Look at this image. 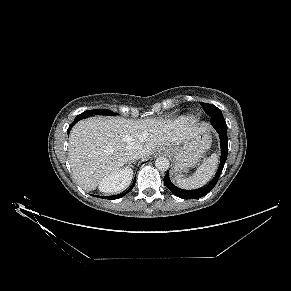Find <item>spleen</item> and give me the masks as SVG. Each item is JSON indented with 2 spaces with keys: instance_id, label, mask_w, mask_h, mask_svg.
Masks as SVG:
<instances>
[{
  "instance_id": "obj_1",
  "label": "spleen",
  "mask_w": 291,
  "mask_h": 291,
  "mask_svg": "<svg viewBox=\"0 0 291 291\" xmlns=\"http://www.w3.org/2000/svg\"><path fill=\"white\" fill-rule=\"evenodd\" d=\"M218 165V156L213 153L196 169L195 173L188 177H175V182L182 189H198L206 185L215 174Z\"/></svg>"
}]
</instances>
